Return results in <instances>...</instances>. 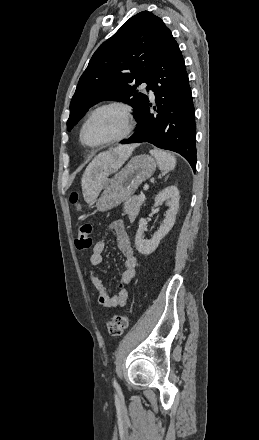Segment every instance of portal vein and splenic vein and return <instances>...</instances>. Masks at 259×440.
<instances>
[{
	"label": "portal vein and splenic vein",
	"instance_id": "1",
	"mask_svg": "<svg viewBox=\"0 0 259 440\" xmlns=\"http://www.w3.org/2000/svg\"><path fill=\"white\" fill-rule=\"evenodd\" d=\"M138 199H139L140 201H144V200H145V195H144V194H140V195L138 196Z\"/></svg>",
	"mask_w": 259,
	"mask_h": 440
}]
</instances>
